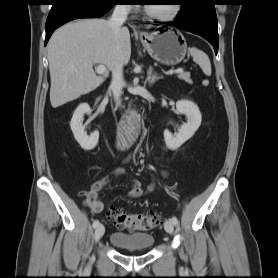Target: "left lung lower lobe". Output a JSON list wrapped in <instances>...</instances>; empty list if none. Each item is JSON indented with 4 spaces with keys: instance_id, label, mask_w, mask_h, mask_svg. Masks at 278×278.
<instances>
[{
    "instance_id": "1",
    "label": "left lung lower lobe",
    "mask_w": 278,
    "mask_h": 278,
    "mask_svg": "<svg viewBox=\"0 0 278 278\" xmlns=\"http://www.w3.org/2000/svg\"><path fill=\"white\" fill-rule=\"evenodd\" d=\"M214 3V2H213ZM176 21L167 22L166 26H174L207 39L214 47L215 54L218 52V26L215 8H212L207 0H196L194 6L186 11H180Z\"/></svg>"
}]
</instances>
